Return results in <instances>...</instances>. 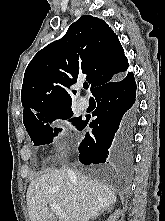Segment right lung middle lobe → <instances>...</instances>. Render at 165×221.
Returning <instances> with one entry per match:
<instances>
[{
	"label": "right lung middle lobe",
	"mask_w": 165,
	"mask_h": 221,
	"mask_svg": "<svg viewBox=\"0 0 165 221\" xmlns=\"http://www.w3.org/2000/svg\"><path fill=\"white\" fill-rule=\"evenodd\" d=\"M72 115L71 107L61 108L42 114L32 122L25 123L24 125L35 146L49 144L53 141L52 138L58 135V131L62 130L58 128L53 129L50 123L56 119H69ZM71 122L79 129L84 121L79 117L72 118Z\"/></svg>",
	"instance_id": "1"
}]
</instances>
